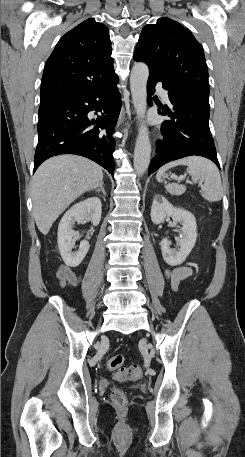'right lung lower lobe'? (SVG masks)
<instances>
[{
    "instance_id": "obj_1",
    "label": "right lung lower lobe",
    "mask_w": 245,
    "mask_h": 457,
    "mask_svg": "<svg viewBox=\"0 0 245 457\" xmlns=\"http://www.w3.org/2000/svg\"><path fill=\"white\" fill-rule=\"evenodd\" d=\"M117 83L118 76L40 104L34 172L49 157L77 154L97 162L114 176L112 134L121 108ZM92 110L102 115L91 120L87 114Z\"/></svg>"
}]
</instances>
